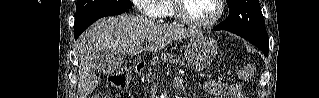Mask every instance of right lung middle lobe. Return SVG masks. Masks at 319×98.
Masks as SVG:
<instances>
[{
	"mask_svg": "<svg viewBox=\"0 0 319 98\" xmlns=\"http://www.w3.org/2000/svg\"><path fill=\"white\" fill-rule=\"evenodd\" d=\"M132 8L129 0H77L76 18L103 11H126Z\"/></svg>",
	"mask_w": 319,
	"mask_h": 98,
	"instance_id": "obj_1",
	"label": "right lung middle lobe"
}]
</instances>
